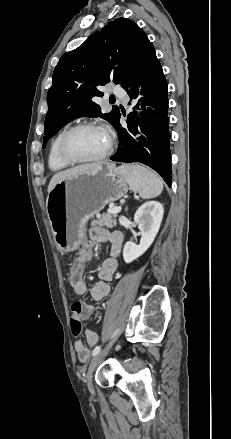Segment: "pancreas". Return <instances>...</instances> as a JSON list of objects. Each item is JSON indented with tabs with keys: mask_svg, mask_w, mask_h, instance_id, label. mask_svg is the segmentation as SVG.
<instances>
[{
	"mask_svg": "<svg viewBox=\"0 0 231 439\" xmlns=\"http://www.w3.org/2000/svg\"><path fill=\"white\" fill-rule=\"evenodd\" d=\"M116 214H103L102 217L95 219L91 222V226H106L107 228H113L117 226Z\"/></svg>",
	"mask_w": 231,
	"mask_h": 439,
	"instance_id": "obj_1",
	"label": "pancreas"
}]
</instances>
